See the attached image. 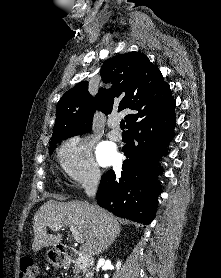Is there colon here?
Instances as JSON below:
<instances>
[{"label": "colon", "mask_w": 221, "mask_h": 278, "mask_svg": "<svg viewBox=\"0 0 221 278\" xmlns=\"http://www.w3.org/2000/svg\"><path fill=\"white\" fill-rule=\"evenodd\" d=\"M38 269L31 258L22 260L19 268V278H38Z\"/></svg>", "instance_id": "1"}]
</instances>
